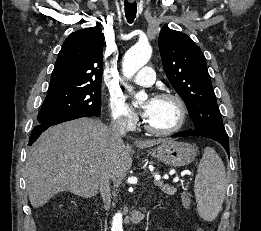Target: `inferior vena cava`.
Wrapping results in <instances>:
<instances>
[{"label": "inferior vena cava", "mask_w": 261, "mask_h": 231, "mask_svg": "<svg viewBox=\"0 0 261 231\" xmlns=\"http://www.w3.org/2000/svg\"><path fill=\"white\" fill-rule=\"evenodd\" d=\"M110 134L113 139H118L126 134V125L121 119L113 120L110 123ZM110 174L104 171L100 182V193L103 199L106 211L110 208L111 203V188H110Z\"/></svg>", "instance_id": "inferior-vena-cava-1"}]
</instances>
